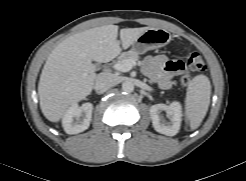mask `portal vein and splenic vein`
Listing matches in <instances>:
<instances>
[{
  "label": "portal vein and splenic vein",
  "mask_w": 246,
  "mask_h": 181,
  "mask_svg": "<svg viewBox=\"0 0 246 181\" xmlns=\"http://www.w3.org/2000/svg\"><path fill=\"white\" fill-rule=\"evenodd\" d=\"M135 65H136V62L134 60H124L122 62L116 63L114 65V69L120 72H128Z\"/></svg>",
  "instance_id": "1"
}]
</instances>
